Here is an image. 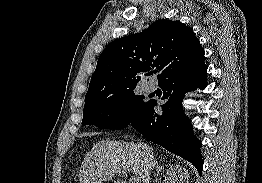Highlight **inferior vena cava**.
<instances>
[{
    "mask_svg": "<svg viewBox=\"0 0 262 183\" xmlns=\"http://www.w3.org/2000/svg\"><path fill=\"white\" fill-rule=\"evenodd\" d=\"M139 146L142 149V152L145 156L147 169L151 171L155 166L153 152L149 149L147 144L139 143Z\"/></svg>",
    "mask_w": 262,
    "mask_h": 183,
    "instance_id": "inferior-vena-cava-1",
    "label": "inferior vena cava"
}]
</instances>
